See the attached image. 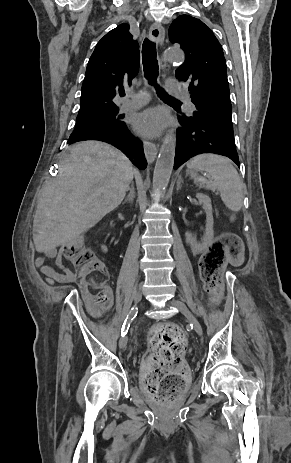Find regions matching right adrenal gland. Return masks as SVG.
Masks as SVG:
<instances>
[{"label":"right adrenal gland","mask_w":291,"mask_h":463,"mask_svg":"<svg viewBox=\"0 0 291 463\" xmlns=\"http://www.w3.org/2000/svg\"><path fill=\"white\" fill-rule=\"evenodd\" d=\"M134 198H135V189H134V186L132 185L131 188H130V192L129 194L127 195V197L125 198L123 204L125 203H133L134 201Z\"/></svg>","instance_id":"2a0ac1e0"}]
</instances>
